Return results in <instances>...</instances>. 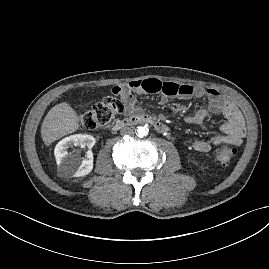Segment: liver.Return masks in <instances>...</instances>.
<instances>
[{
    "label": "liver",
    "mask_w": 269,
    "mask_h": 269,
    "mask_svg": "<svg viewBox=\"0 0 269 269\" xmlns=\"http://www.w3.org/2000/svg\"><path fill=\"white\" fill-rule=\"evenodd\" d=\"M79 129V116L68 102L50 109L41 126V137L46 145Z\"/></svg>",
    "instance_id": "1"
}]
</instances>
